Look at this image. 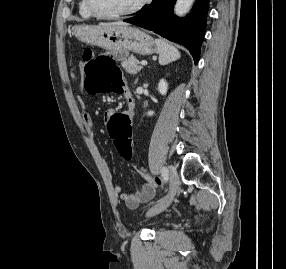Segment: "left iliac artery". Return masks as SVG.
<instances>
[{"mask_svg": "<svg viewBox=\"0 0 286 269\" xmlns=\"http://www.w3.org/2000/svg\"><path fill=\"white\" fill-rule=\"evenodd\" d=\"M161 173H162L163 179L165 181H167L168 180V173H169L167 167H163L161 170Z\"/></svg>", "mask_w": 286, "mask_h": 269, "instance_id": "1", "label": "left iliac artery"}]
</instances>
